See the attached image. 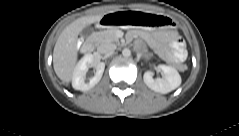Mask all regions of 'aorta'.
<instances>
[{"label": "aorta", "mask_w": 239, "mask_h": 136, "mask_svg": "<svg viewBox=\"0 0 239 136\" xmlns=\"http://www.w3.org/2000/svg\"><path fill=\"white\" fill-rule=\"evenodd\" d=\"M122 55L124 57H129L131 55V51L129 48H124L123 51H122Z\"/></svg>", "instance_id": "obj_1"}]
</instances>
